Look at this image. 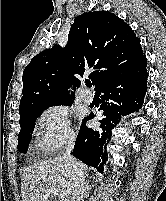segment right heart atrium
<instances>
[{"label":"right heart atrium","mask_w":166,"mask_h":201,"mask_svg":"<svg viewBox=\"0 0 166 201\" xmlns=\"http://www.w3.org/2000/svg\"><path fill=\"white\" fill-rule=\"evenodd\" d=\"M38 147L46 154H52L70 145L75 139L68 111L58 105L46 108L36 123Z\"/></svg>","instance_id":"obj_1"}]
</instances>
